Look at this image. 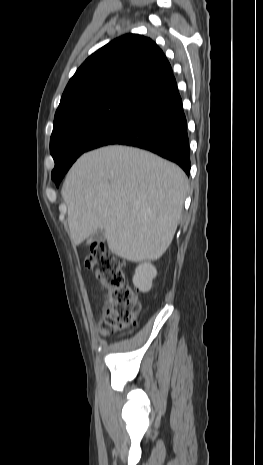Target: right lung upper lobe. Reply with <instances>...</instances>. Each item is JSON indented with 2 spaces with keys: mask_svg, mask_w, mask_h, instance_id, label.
I'll return each mask as SVG.
<instances>
[{
  "mask_svg": "<svg viewBox=\"0 0 263 465\" xmlns=\"http://www.w3.org/2000/svg\"><path fill=\"white\" fill-rule=\"evenodd\" d=\"M173 75L162 50L150 38L123 35L93 53L67 84L55 116L84 102L140 93Z\"/></svg>",
  "mask_w": 263,
  "mask_h": 465,
  "instance_id": "obj_1",
  "label": "right lung upper lobe"
}]
</instances>
